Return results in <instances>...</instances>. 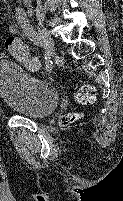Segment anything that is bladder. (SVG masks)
Masks as SVG:
<instances>
[{
  "mask_svg": "<svg viewBox=\"0 0 123 201\" xmlns=\"http://www.w3.org/2000/svg\"><path fill=\"white\" fill-rule=\"evenodd\" d=\"M0 97L29 118L49 116L59 102L57 88L52 83L28 74L10 59H0Z\"/></svg>",
  "mask_w": 123,
  "mask_h": 201,
  "instance_id": "bladder-1",
  "label": "bladder"
}]
</instances>
